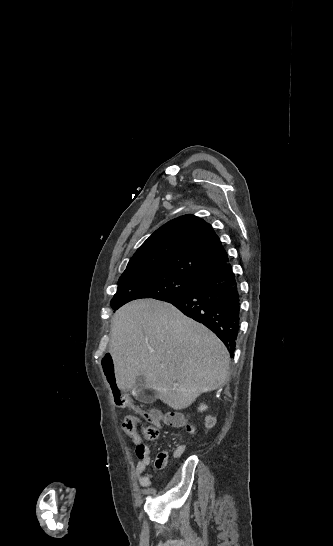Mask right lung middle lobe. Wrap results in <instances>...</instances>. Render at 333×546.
I'll use <instances>...</instances> for the list:
<instances>
[{
    "mask_svg": "<svg viewBox=\"0 0 333 546\" xmlns=\"http://www.w3.org/2000/svg\"><path fill=\"white\" fill-rule=\"evenodd\" d=\"M200 279L171 272H147L122 275L118 289L111 300L117 310L129 301L138 298L165 300L193 289Z\"/></svg>",
    "mask_w": 333,
    "mask_h": 546,
    "instance_id": "obj_1",
    "label": "right lung middle lobe"
}]
</instances>
